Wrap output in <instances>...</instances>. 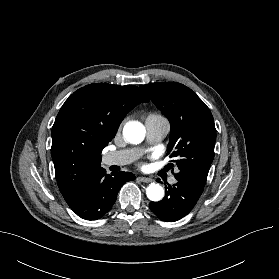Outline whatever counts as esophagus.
Masks as SVG:
<instances>
[{"instance_id": "34e87169", "label": "esophagus", "mask_w": 279, "mask_h": 279, "mask_svg": "<svg viewBox=\"0 0 279 279\" xmlns=\"http://www.w3.org/2000/svg\"><path fill=\"white\" fill-rule=\"evenodd\" d=\"M141 182H144V183H150L153 181V179L151 178H147V177H139L138 178Z\"/></svg>"}]
</instances>
